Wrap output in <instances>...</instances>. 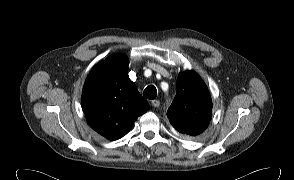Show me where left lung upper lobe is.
I'll list each match as a JSON object with an SVG mask.
<instances>
[{
  "mask_svg": "<svg viewBox=\"0 0 294 180\" xmlns=\"http://www.w3.org/2000/svg\"><path fill=\"white\" fill-rule=\"evenodd\" d=\"M212 101L203 80L194 71L180 73L176 96L167 111L171 125L180 133L196 136L211 120Z\"/></svg>",
  "mask_w": 294,
  "mask_h": 180,
  "instance_id": "left-lung-upper-lobe-1",
  "label": "left lung upper lobe"
}]
</instances>
